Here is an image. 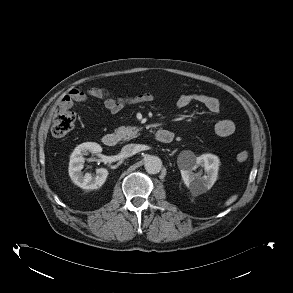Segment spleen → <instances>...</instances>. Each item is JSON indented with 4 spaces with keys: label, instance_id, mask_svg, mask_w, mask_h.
Wrapping results in <instances>:
<instances>
[{
    "label": "spleen",
    "instance_id": "obj_1",
    "mask_svg": "<svg viewBox=\"0 0 293 293\" xmlns=\"http://www.w3.org/2000/svg\"><path fill=\"white\" fill-rule=\"evenodd\" d=\"M236 199H237V195H233L232 197H230V198L226 201L225 205H226V206L231 205L233 202L236 201Z\"/></svg>",
    "mask_w": 293,
    "mask_h": 293
}]
</instances>
